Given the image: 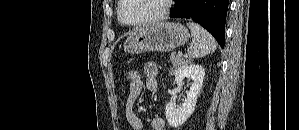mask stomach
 <instances>
[{
  "label": "stomach",
  "instance_id": "stomach-1",
  "mask_svg": "<svg viewBox=\"0 0 299 130\" xmlns=\"http://www.w3.org/2000/svg\"><path fill=\"white\" fill-rule=\"evenodd\" d=\"M189 36L187 28L182 24L156 23L132 33L124 43V50L131 54L169 52L185 44Z\"/></svg>",
  "mask_w": 299,
  "mask_h": 130
}]
</instances>
